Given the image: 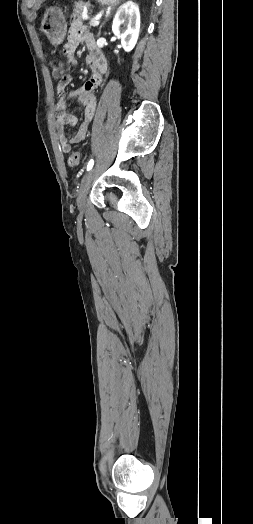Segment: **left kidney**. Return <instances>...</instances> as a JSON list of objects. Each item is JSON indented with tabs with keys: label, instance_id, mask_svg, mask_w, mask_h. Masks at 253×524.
<instances>
[{
	"label": "left kidney",
	"instance_id": "1",
	"mask_svg": "<svg viewBox=\"0 0 253 524\" xmlns=\"http://www.w3.org/2000/svg\"><path fill=\"white\" fill-rule=\"evenodd\" d=\"M112 31L121 40L126 52L135 47L140 32V12L136 3L128 1L119 7L113 19Z\"/></svg>",
	"mask_w": 253,
	"mask_h": 524
}]
</instances>
